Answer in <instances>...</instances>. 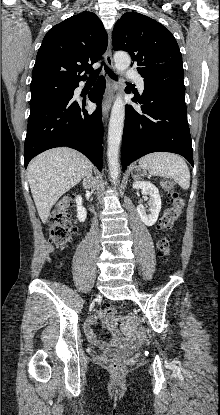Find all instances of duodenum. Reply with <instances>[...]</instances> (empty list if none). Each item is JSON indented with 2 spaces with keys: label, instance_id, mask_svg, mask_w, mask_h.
I'll return each instance as SVG.
<instances>
[{
  "label": "duodenum",
  "instance_id": "1",
  "mask_svg": "<svg viewBox=\"0 0 220 415\" xmlns=\"http://www.w3.org/2000/svg\"><path fill=\"white\" fill-rule=\"evenodd\" d=\"M90 208H91V210H93L94 209L93 205H91Z\"/></svg>",
  "mask_w": 220,
  "mask_h": 415
}]
</instances>
